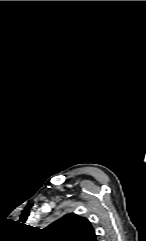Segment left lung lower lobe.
<instances>
[{"instance_id": "obj_1", "label": "left lung lower lobe", "mask_w": 146, "mask_h": 241, "mask_svg": "<svg viewBox=\"0 0 146 241\" xmlns=\"http://www.w3.org/2000/svg\"><path fill=\"white\" fill-rule=\"evenodd\" d=\"M93 241H97L96 237L93 239Z\"/></svg>"}]
</instances>
